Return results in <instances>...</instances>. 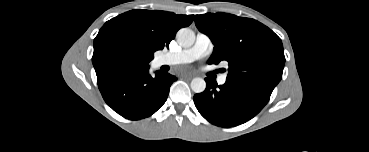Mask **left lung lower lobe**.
Returning <instances> with one entry per match:
<instances>
[{
	"mask_svg": "<svg viewBox=\"0 0 369 152\" xmlns=\"http://www.w3.org/2000/svg\"><path fill=\"white\" fill-rule=\"evenodd\" d=\"M206 81V89L194 96L200 114L219 127H234L243 124L268 103L273 88L227 80L224 85Z\"/></svg>",
	"mask_w": 369,
	"mask_h": 152,
	"instance_id": "left-lung-lower-lobe-1",
	"label": "left lung lower lobe"
}]
</instances>
